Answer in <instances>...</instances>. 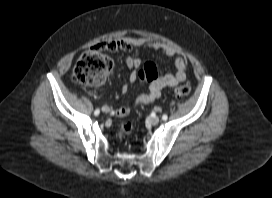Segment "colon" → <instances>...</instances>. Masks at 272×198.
Returning <instances> with one entry per match:
<instances>
[{"mask_svg": "<svg viewBox=\"0 0 272 198\" xmlns=\"http://www.w3.org/2000/svg\"><path fill=\"white\" fill-rule=\"evenodd\" d=\"M113 68L112 59L102 52V49H93L84 52L77 60L73 71L72 80L81 86L98 85L102 83ZM157 73L153 63H145L140 74L153 76ZM178 96H187L190 93L189 86H179L175 88ZM133 124L129 121L123 122L119 129V136L125 137L132 134Z\"/></svg>", "mask_w": 272, "mask_h": 198, "instance_id": "colon-1", "label": "colon"}]
</instances>
